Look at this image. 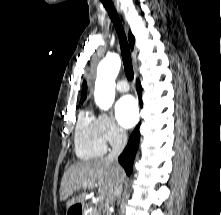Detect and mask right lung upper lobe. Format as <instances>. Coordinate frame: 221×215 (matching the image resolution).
Returning a JSON list of instances; mask_svg holds the SVG:
<instances>
[{"label": "right lung upper lobe", "instance_id": "right-lung-upper-lobe-1", "mask_svg": "<svg viewBox=\"0 0 221 215\" xmlns=\"http://www.w3.org/2000/svg\"><path fill=\"white\" fill-rule=\"evenodd\" d=\"M134 42H135V38L134 36L131 34V32L129 33V43H130V47L131 49H133L134 46ZM87 96V84L84 81L83 83V87H82V95H81V101H84L86 99Z\"/></svg>", "mask_w": 221, "mask_h": 215}]
</instances>
